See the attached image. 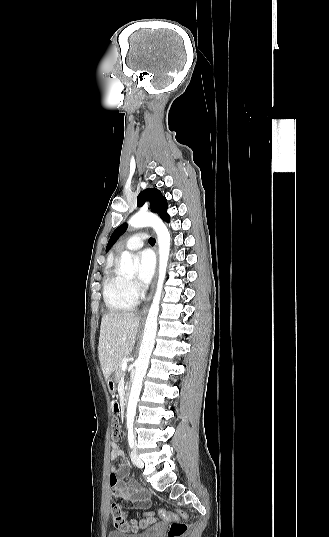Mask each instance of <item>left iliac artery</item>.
<instances>
[{
	"instance_id": "1",
	"label": "left iliac artery",
	"mask_w": 329,
	"mask_h": 537,
	"mask_svg": "<svg viewBox=\"0 0 329 537\" xmlns=\"http://www.w3.org/2000/svg\"><path fill=\"white\" fill-rule=\"evenodd\" d=\"M128 443L130 448H133L134 446V432L132 428L128 429Z\"/></svg>"
}]
</instances>
